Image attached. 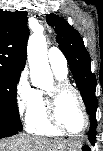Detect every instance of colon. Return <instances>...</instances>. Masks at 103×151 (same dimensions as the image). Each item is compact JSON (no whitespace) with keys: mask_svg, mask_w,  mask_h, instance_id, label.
I'll return each mask as SVG.
<instances>
[{"mask_svg":"<svg viewBox=\"0 0 103 151\" xmlns=\"http://www.w3.org/2000/svg\"><path fill=\"white\" fill-rule=\"evenodd\" d=\"M83 151H90L88 147H84Z\"/></svg>","mask_w":103,"mask_h":151,"instance_id":"obj_1","label":"colon"}]
</instances>
